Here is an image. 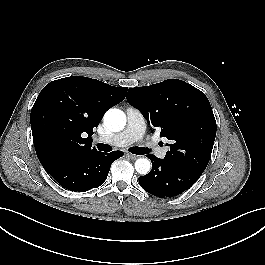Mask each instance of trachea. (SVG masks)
<instances>
[{"instance_id":"1","label":"trachea","mask_w":265,"mask_h":265,"mask_svg":"<svg viewBox=\"0 0 265 265\" xmlns=\"http://www.w3.org/2000/svg\"><path fill=\"white\" fill-rule=\"evenodd\" d=\"M97 148L100 150V151H104V152H110L112 150V147L108 144H103V143H98L97 144ZM129 151L133 154H136V155H144V154H147L149 152V149L148 148H144V147H131L129 149Z\"/></svg>"}]
</instances>
